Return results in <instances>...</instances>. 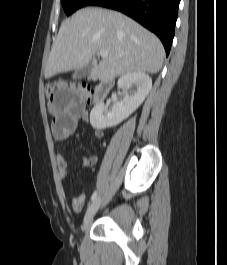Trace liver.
Masks as SVG:
<instances>
[{
    "label": "liver",
    "instance_id": "6515ba94",
    "mask_svg": "<svg viewBox=\"0 0 227 265\" xmlns=\"http://www.w3.org/2000/svg\"><path fill=\"white\" fill-rule=\"evenodd\" d=\"M108 57L99 64L100 51ZM164 47L153 33L116 11L86 8L65 20L48 58L45 78L77 70L91 62V78L107 82L130 72H159Z\"/></svg>",
    "mask_w": 227,
    "mask_h": 265
}]
</instances>
